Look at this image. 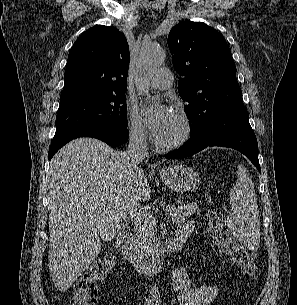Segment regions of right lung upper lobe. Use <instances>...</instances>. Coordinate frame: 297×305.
I'll return each mask as SVG.
<instances>
[{
	"label": "right lung upper lobe",
	"instance_id": "cb5924a9",
	"mask_svg": "<svg viewBox=\"0 0 297 305\" xmlns=\"http://www.w3.org/2000/svg\"><path fill=\"white\" fill-rule=\"evenodd\" d=\"M129 46L123 33L111 26L86 30L73 44L60 99L127 89Z\"/></svg>",
	"mask_w": 297,
	"mask_h": 305
}]
</instances>
